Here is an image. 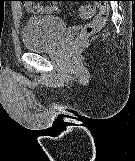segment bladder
I'll return each mask as SVG.
<instances>
[{
	"instance_id": "bladder-1",
	"label": "bladder",
	"mask_w": 135,
	"mask_h": 161,
	"mask_svg": "<svg viewBox=\"0 0 135 161\" xmlns=\"http://www.w3.org/2000/svg\"><path fill=\"white\" fill-rule=\"evenodd\" d=\"M65 21L58 16L30 17L22 32L24 47L32 52L54 48L65 32Z\"/></svg>"
}]
</instances>
